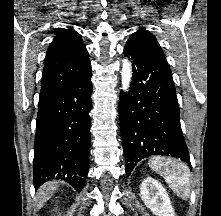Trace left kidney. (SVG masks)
I'll return each mask as SVG.
<instances>
[{"instance_id":"obj_1","label":"left kidney","mask_w":221,"mask_h":216,"mask_svg":"<svg viewBox=\"0 0 221 216\" xmlns=\"http://www.w3.org/2000/svg\"><path fill=\"white\" fill-rule=\"evenodd\" d=\"M140 195L144 204L156 216H175L166 189L157 180L149 177L140 187Z\"/></svg>"}]
</instances>
